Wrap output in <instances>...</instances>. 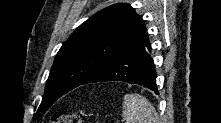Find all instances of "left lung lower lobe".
Returning a JSON list of instances; mask_svg holds the SVG:
<instances>
[{
    "mask_svg": "<svg viewBox=\"0 0 221 123\" xmlns=\"http://www.w3.org/2000/svg\"><path fill=\"white\" fill-rule=\"evenodd\" d=\"M151 46L145 36L94 72L82 84L102 81H124L138 84L158 94L156 71L150 55Z\"/></svg>",
    "mask_w": 221,
    "mask_h": 123,
    "instance_id": "1",
    "label": "left lung lower lobe"
}]
</instances>
